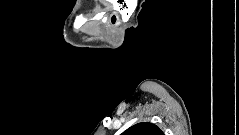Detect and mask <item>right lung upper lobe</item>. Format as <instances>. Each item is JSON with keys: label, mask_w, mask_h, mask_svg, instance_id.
Masks as SVG:
<instances>
[{"label": "right lung upper lobe", "mask_w": 239, "mask_h": 135, "mask_svg": "<svg viewBox=\"0 0 239 135\" xmlns=\"http://www.w3.org/2000/svg\"><path fill=\"white\" fill-rule=\"evenodd\" d=\"M122 135H164L155 124L144 122L131 126Z\"/></svg>", "instance_id": "cb5924a9"}]
</instances>
